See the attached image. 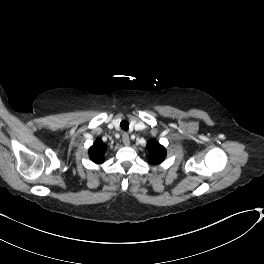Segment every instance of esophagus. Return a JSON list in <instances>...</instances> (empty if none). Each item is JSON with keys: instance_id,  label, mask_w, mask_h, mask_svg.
I'll list each match as a JSON object with an SVG mask.
<instances>
[{"instance_id": "esophagus-1", "label": "esophagus", "mask_w": 264, "mask_h": 264, "mask_svg": "<svg viewBox=\"0 0 264 264\" xmlns=\"http://www.w3.org/2000/svg\"><path fill=\"white\" fill-rule=\"evenodd\" d=\"M122 141H123L125 146L130 145V138H129V135L127 133L122 134Z\"/></svg>"}]
</instances>
